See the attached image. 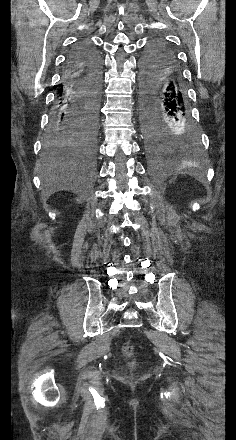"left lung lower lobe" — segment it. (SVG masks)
I'll return each instance as SVG.
<instances>
[{"mask_svg":"<svg viewBox=\"0 0 236 440\" xmlns=\"http://www.w3.org/2000/svg\"><path fill=\"white\" fill-rule=\"evenodd\" d=\"M140 101L141 130L150 151L196 141L187 90L174 53L165 52L152 63H142Z\"/></svg>","mask_w":236,"mask_h":440,"instance_id":"0a47b994","label":"left lung lower lobe"}]
</instances>
